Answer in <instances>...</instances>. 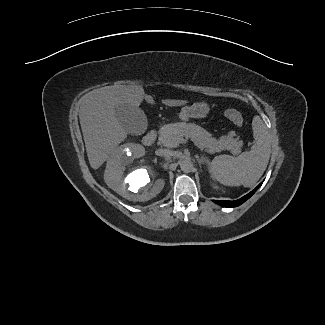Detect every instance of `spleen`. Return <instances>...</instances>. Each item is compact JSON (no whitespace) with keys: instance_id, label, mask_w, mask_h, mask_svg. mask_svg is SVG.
<instances>
[{"instance_id":"1","label":"spleen","mask_w":325,"mask_h":325,"mask_svg":"<svg viewBox=\"0 0 325 325\" xmlns=\"http://www.w3.org/2000/svg\"><path fill=\"white\" fill-rule=\"evenodd\" d=\"M255 144L238 157L219 155L209 165L211 177L225 186L252 187L263 175L270 158L271 136L259 116L252 121Z\"/></svg>"}]
</instances>
